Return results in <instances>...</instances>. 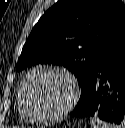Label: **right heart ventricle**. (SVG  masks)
<instances>
[{
    "label": "right heart ventricle",
    "instance_id": "right-heart-ventricle-1",
    "mask_svg": "<svg viewBox=\"0 0 125 128\" xmlns=\"http://www.w3.org/2000/svg\"><path fill=\"white\" fill-rule=\"evenodd\" d=\"M18 110H19V112L21 113V115H22L24 118H26V117L23 115V113H22V111H21V109H20V104H19V90H18ZM26 119H28V118H26Z\"/></svg>",
    "mask_w": 125,
    "mask_h": 128
}]
</instances>
